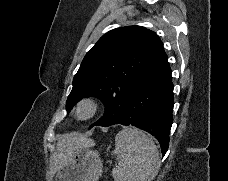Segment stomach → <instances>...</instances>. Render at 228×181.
Masks as SVG:
<instances>
[{
  "instance_id": "1",
  "label": "stomach",
  "mask_w": 228,
  "mask_h": 181,
  "mask_svg": "<svg viewBox=\"0 0 228 181\" xmlns=\"http://www.w3.org/2000/svg\"><path fill=\"white\" fill-rule=\"evenodd\" d=\"M103 173V163L97 151L79 147L71 155L67 165L59 169L55 181H99Z\"/></svg>"
}]
</instances>
